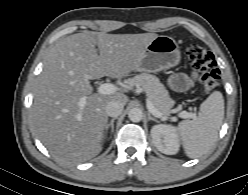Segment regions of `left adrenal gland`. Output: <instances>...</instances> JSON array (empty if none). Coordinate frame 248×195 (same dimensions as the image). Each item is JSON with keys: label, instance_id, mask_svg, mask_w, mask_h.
Returning <instances> with one entry per match:
<instances>
[{"label": "left adrenal gland", "instance_id": "obj_1", "mask_svg": "<svg viewBox=\"0 0 248 195\" xmlns=\"http://www.w3.org/2000/svg\"><path fill=\"white\" fill-rule=\"evenodd\" d=\"M148 120H152V121H155V122H159L156 118L152 117L150 113H148Z\"/></svg>", "mask_w": 248, "mask_h": 195}]
</instances>
